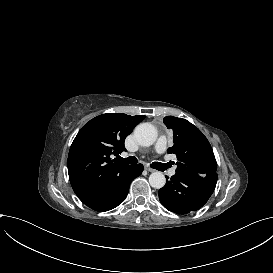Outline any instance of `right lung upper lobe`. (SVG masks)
<instances>
[{
  "label": "right lung upper lobe",
  "instance_id": "1",
  "mask_svg": "<svg viewBox=\"0 0 273 273\" xmlns=\"http://www.w3.org/2000/svg\"><path fill=\"white\" fill-rule=\"evenodd\" d=\"M145 116L102 114L86 123L76 135L68 155V174L83 203L99 196L107 181L130 165L111 159L126 150L125 138Z\"/></svg>",
  "mask_w": 273,
  "mask_h": 273
}]
</instances>
